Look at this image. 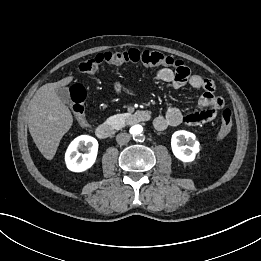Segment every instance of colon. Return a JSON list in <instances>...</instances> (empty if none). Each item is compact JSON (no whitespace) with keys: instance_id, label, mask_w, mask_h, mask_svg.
Masks as SVG:
<instances>
[{"instance_id":"1","label":"colon","mask_w":261,"mask_h":261,"mask_svg":"<svg viewBox=\"0 0 261 261\" xmlns=\"http://www.w3.org/2000/svg\"><path fill=\"white\" fill-rule=\"evenodd\" d=\"M127 63L140 64L143 66H171L176 69L181 67L183 63L175 60L170 56H166L157 51H140L137 49H129L125 51H107L98 53L95 56L82 61L78 70L81 74H93L103 64L122 65ZM70 107L76 118L81 124H86L85 118V99L86 90L81 84H74L69 90ZM233 126V115L231 110L225 109L221 116V126L218 131L217 139L223 140L230 133Z\"/></svg>"}]
</instances>
